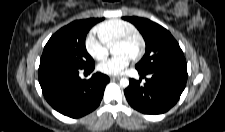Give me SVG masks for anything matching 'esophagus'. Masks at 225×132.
I'll return each instance as SVG.
<instances>
[{"instance_id": "1", "label": "esophagus", "mask_w": 225, "mask_h": 132, "mask_svg": "<svg viewBox=\"0 0 225 132\" xmlns=\"http://www.w3.org/2000/svg\"><path fill=\"white\" fill-rule=\"evenodd\" d=\"M118 79H120L119 76H111V77H110V80H111V81H115V80H118Z\"/></svg>"}]
</instances>
